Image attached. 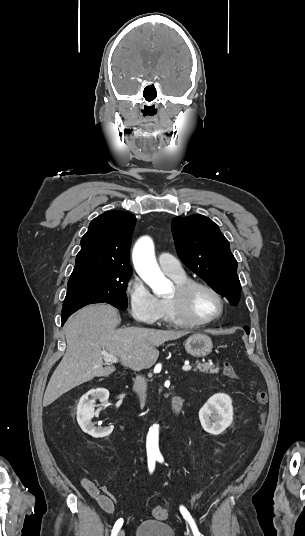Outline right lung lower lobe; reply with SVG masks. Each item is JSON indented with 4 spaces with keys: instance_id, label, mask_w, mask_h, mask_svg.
Returning <instances> with one entry per match:
<instances>
[{
    "instance_id": "right-lung-lower-lobe-1",
    "label": "right lung lower lobe",
    "mask_w": 305,
    "mask_h": 536,
    "mask_svg": "<svg viewBox=\"0 0 305 536\" xmlns=\"http://www.w3.org/2000/svg\"><path fill=\"white\" fill-rule=\"evenodd\" d=\"M86 305L81 306H72V307H63L62 309V325L66 322L67 318L73 314L75 311L79 310L80 308L84 307Z\"/></svg>"
}]
</instances>
